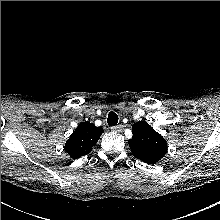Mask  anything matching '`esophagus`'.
I'll list each match as a JSON object with an SVG mask.
<instances>
[{
    "label": "esophagus",
    "mask_w": 220,
    "mask_h": 220,
    "mask_svg": "<svg viewBox=\"0 0 220 220\" xmlns=\"http://www.w3.org/2000/svg\"><path fill=\"white\" fill-rule=\"evenodd\" d=\"M111 130L113 132H117V133H120L123 131V126L122 125H115V126H112L111 127Z\"/></svg>",
    "instance_id": "34e87169"
}]
</instances>
